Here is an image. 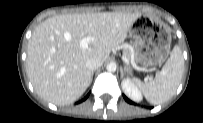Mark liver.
<instances>
[{"mask_svg":"<svg viewBox=\"0 0 203 123\" xmlns=\"http://www.w3.org/2000/svg\"><path fill=\"white\" fill-rule=\"evenodd\" d=\"M139 13L66 14L38 25L27 45L26 70L36 93L56 105L75 102L90 85L87 59L106 61L121 45ZM92 37L88 48L80 41Z\"/></svg>","mask_w":203,"mask_h":123,"instance_id":"1","label":"liver"}]
</instances>
